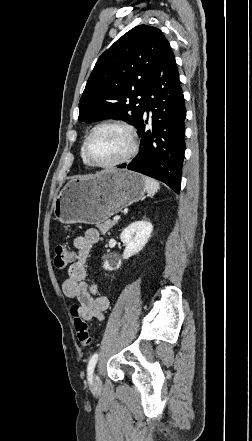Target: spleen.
Segmentation results:
<instances>
[{"label": "spleen", "mask_w": 252, "mask_h": 441, "mask_svg": "<svg viewBox=\"0 0 252 441\" xmlns=\"http://www.w3.org/2000/svg\"><path fill=\"white\" fill-rule=\"evenodd\" d=\"M145 189L150 197H153L155 193L160 189V184L149 177H144Z\"/></svg>", "instance_id": "obj_1"}]
</instances>
